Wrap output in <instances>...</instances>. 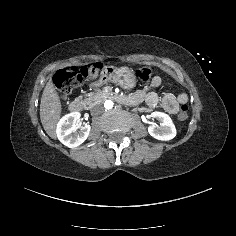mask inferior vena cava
Segmentation results:
<instances>
[{
	"mask_svg": "<svg viewBox=\"0 0 236 236\" xmlns=\"http://www.w3.org/2000/svg\"><path fill=\"white\" fill-rule=\"evenodd\" d=\"M103 110H104V108H103L102 104H97L92 108L91 112L97 114V113H102Z\"/></svg>",
	"mask_w": 236,
	"mask_h": 236,
	"instance_id": "inferior-vena-cava-1",
	"label": "inferior vena cava"
}]
</instances>
